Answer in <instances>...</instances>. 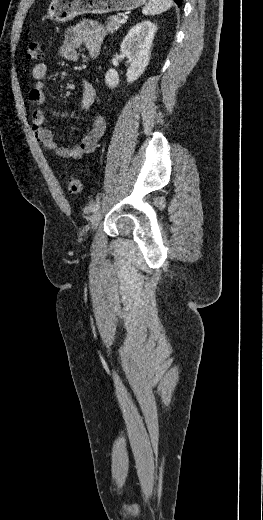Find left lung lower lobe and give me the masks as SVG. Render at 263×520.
<instances>
[{
    "label": "left lung lower lobe",
    "mask_w": 263,
    "mask_h": 520,
    "mask_svg": "<svg viewBox=\"0 0 263 520\" xmlns=\"http://www.w3.org/2000/svg\"><path fill=\"white\" fill-rule=\"evenodd\" d=\"M174 1L177 3L178 6H180L183 0H174Z\"/></svg>",
    "instance_id": "0a47b994"
}]
</instances>
